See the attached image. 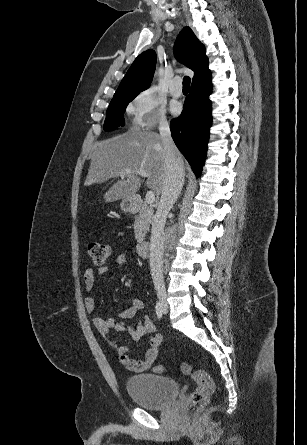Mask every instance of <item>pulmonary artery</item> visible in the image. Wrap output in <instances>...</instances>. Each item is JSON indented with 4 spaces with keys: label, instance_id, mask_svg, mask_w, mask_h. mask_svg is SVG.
<instances>
[{
    "label": "pulmonary artery",
    "instance_id": "1",
    "mask_svg": "<svg viewBox=\"0 0 307 445\" xmlns=\"http://www.w3.org/2000/svg\"><path fill=\"white\" fill-rule=\"evenodd\" d=\"M174 80L175 81H170L169 88L171 90V93L174 96L178 97L182 94L181 90H183V88H184V83H183V81H180L181 77L178 75L175 76Z\"/></svg>",
    "mask_w": 307,
    "mask_h": 445
}]
</instances>
